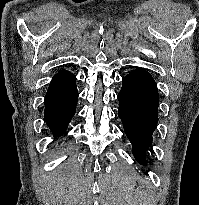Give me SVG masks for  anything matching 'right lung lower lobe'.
Here are the masks:
<instances>
[{"instance_id": "98d812e1", "label": "right lung lower lobe", "mask_w": 199, "mask_h": 205, "mask_svg": "<svg viewBox=\"0 0 199 205\" xmlns=\"http://www.w3.org/2000/svg\"><path fill=\"white\" fill-rule=\"evenodd\" d=\"M76 77L68 73L56 74L45 95L44 118L53 135H62L75 114L78 99Z\"/></svg>"}]
</instances>
